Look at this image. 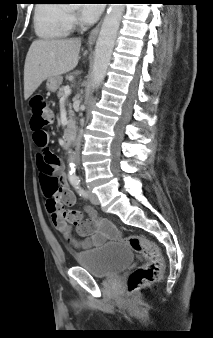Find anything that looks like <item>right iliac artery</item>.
I'll list each match as a JSON object with an SVG mask.
<instances>
[{"instance_id":"right-iliac-artery-1","label":"right iliac artery","mask_w":213,"mask_h":338,"mask_svg":"<svg viewBox=\"0 0 213 338\" xmlns=\"http://www.w3.org/2000/svg\"><path fill=\"white\" fill-rule=\"evenodd\" d=\"M73 185H74V187H78L79 185H80V182H75V183H73Z\"/></svg>"}]
</instances>
